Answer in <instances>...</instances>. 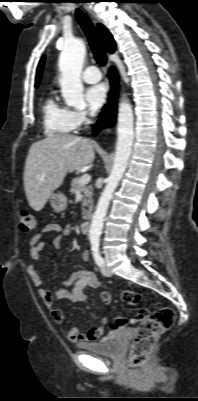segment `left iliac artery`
<instances>
[{"label":"left iliac artery","instance_id":"obj_1","mask_svg":"<svg viewBox=\"0 0 198 401\" xmlns=\"http://www.w3.org/2000/svg\"><path fill=\"white\" fill-rule=\"evenodd\" d=\"M91 250H92L93 258H94L96 264L99 266H102L104 261L99 252V240L98 239L91 240Z\"/></svg>","mask_w":198,"mask_h":401}]
</instances>
